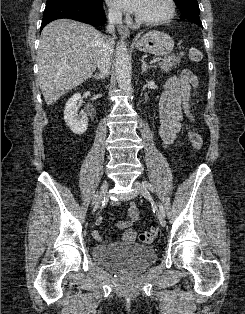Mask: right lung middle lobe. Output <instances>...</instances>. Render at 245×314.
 Returning a JSON list of instances; mask_svg holds the SVG:
<instances>
[{
  "mask_svg": "<svg viewBox=\"0 0 245 314\" xmlns=\"http://www.w3.org/2000/svg\"><path fill=\"white\" fill-rule=\"evenodd\" d=\"M58 1L79 2V3L89 4V5H97V4L102 3V0H47V3L58 2Z\"/></svg>",
  "mask_w": 245,
  "mask_h": 314,
  "instance_id": "right-lung-middle-lobe-1",
  "label": "right lung middle lobe"
}]
</instances>
